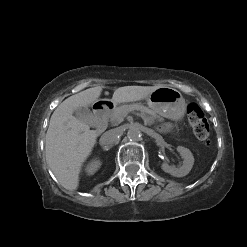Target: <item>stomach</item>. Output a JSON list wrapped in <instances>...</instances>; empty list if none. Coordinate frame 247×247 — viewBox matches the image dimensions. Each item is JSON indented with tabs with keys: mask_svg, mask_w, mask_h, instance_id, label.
Segmentation results:
<instances>
[{
	"mask_svg": "<svg viewBox=\"0 0 247 247\" xmlns=\"http://www.w3.org/2000/svg\"><path fill=\"white\" fill-rule=\"evenodd\" d=\"M146 101L150 109L165 118L180 121L185 116L187 107L185 99L174 88L162 86L152 92Z\"/></svg>",
	"mask_w": 247,
	"mask_h": 247,
	"instance_id": "1",
	"label": "stomach"
}]
</instances>
